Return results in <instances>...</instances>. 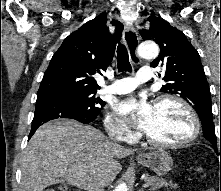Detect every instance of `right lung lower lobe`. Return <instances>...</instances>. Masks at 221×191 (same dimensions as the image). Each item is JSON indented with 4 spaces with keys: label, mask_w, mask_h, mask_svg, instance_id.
Wrapping results in <instances>:
<instances>
[{
    "label": "right lung lower lobe",
    "mask_w": 221,
    "mask_h": 191,
    "mask_svg": "<svg viewBox=\"0 0 221 191\" xmlns=\"http://www.w3.org/2000/svg\"><path fill=\"white\" fill-rule=\"evenodd\" d=\"M57 118H70L88 124L96 117H85L59 97H37L29 139L42 124Z\"/></svg>",
    "instance_id": "1"
}]
</instances>
